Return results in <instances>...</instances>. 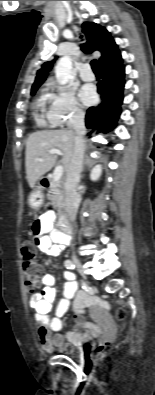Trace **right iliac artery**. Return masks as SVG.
Instances as JSON below:
<instances>
[{"mask_svg":"<svg viewBox=\"0 0 155 395\" xmlns=\"http://www.w3.org/2000/svg\"><path fill=\"white\" fill-rule=\"evenodd\" d=\"M64 265H65V267H66L67 269H69V270H74V268H75V265L72 263L71 260H66V261L64 262Z\"/></svg>","mask_w":155,"mask_h":395,"instance_id":"right-iliac-artery-1","label":"right iliac artery"}]
</instances>
